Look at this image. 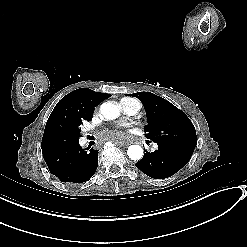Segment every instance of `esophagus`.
<instances>
[{
	"instance_id": "obj_1",
	"label": "esophagus",
	"mask_w": 247,
	"mask_h": 247,
	"mask_svg": "<svg viewBox=\"0 0 247 247\" xmlns=\"http://www.w3.org/2000/svg\"><path fill=\"white\" fill-rule=\"evenodd\" d=\"M124 148H127L128 146L129 147H132L134 145V142L132 140H129L128 142L127 141H124L122 144H121Z\"/></svg>"
}]
</instances>
